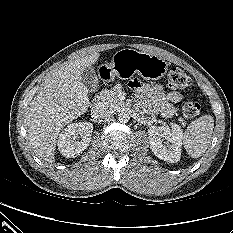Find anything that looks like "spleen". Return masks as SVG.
<instances>
[{
	"label": "spleen",
	"instance_id": "obj_1",
	"mask_svg": "<svg viewBox=\"0 0 233 233\" xmlns=\"http://www.w3.org/2000/svg\"><path fill=\"white\" fill-rule=\"evenodd\" d=\"M214 119L204 115L191 122L183 134L182 143L192 158L201 157L207 150L212 138Z\"/></svg>",
	"mask_w": 233,
	"mask_h": 233
}]
</instances>
